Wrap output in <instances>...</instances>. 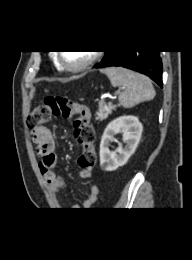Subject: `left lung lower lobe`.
<instances>
[{
    "label": "left lung lower lobe",
    "mask_w": 192,
    "mask_h": 260,
    "mask_svg": "<svg viewBox=\"0 0 192 260\" xmlns=\"http://www.w3.org/2000/svg\"><path fill=\"white\" fill-rule=\"evenodd\" d=\"M121 66L149 76L162 87V62L159 50L107 51L95 68Z\"/></svg>",
    "instance_id": "obj_1"
}]
</instances>
